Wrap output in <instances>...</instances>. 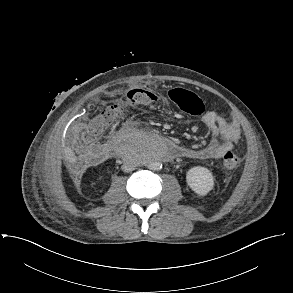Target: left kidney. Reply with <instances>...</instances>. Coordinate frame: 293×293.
Masks as SVG:
<instances>
[{
    "mask_svg": "<svg viewBox=\"0 0 293 293\" xmlns=\"http://www.w3.org/2000/svg\"><path fill=\"white\" fill-rule=\"evenodd\" d=\"M186 182L199 196L207 195L214 187V177L210 170L196 166L188 170Z\"/></svg>",
    "mask_w": 293,
    "mask_h": 293,
    "instance_id": "1",
    "label": "left kidney"
}]
</instances>
